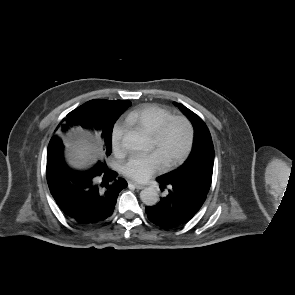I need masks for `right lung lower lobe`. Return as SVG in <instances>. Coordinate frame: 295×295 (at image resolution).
Returning <instances> with one entry per match:
<instances>
[{
    "label": "right lung lower lobe",
    "instance_id": "obj_1",
    "mask_svg": "<svg viewBox=\"0 0 295 295\" xmlns=\"http://www.w3.org/2000/svg\"><path fill=\"white\" fill-rule=\"evenodd\" d=\"M56 173L47 172L50 192L67 218L80 226H93L112 215L120 191L127 182L117 177L106 164L94 165L77 172L69 169L63 159L61 140L51 138L47 151Z\"/></svg>",
    "mask_w": 295,
    "mask_h": 295
}]
</instances>
